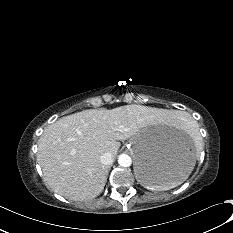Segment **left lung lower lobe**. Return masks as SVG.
Returning a JSON list of instances; mask_svg holds the SVG:
<instances>
[{
    "label": "left lung lower lobe",
    "mask_w": 233,
    "mask_h": 233,
    "mask_svg": "<svg viewBox=\"0 0 233 233\" xmlns=\"http://www.w3.org/2000/svg\"><path fill=\"white\" fill-rule=\"evenodd\" d=\"M142 175H143V177L151 179V180L156 179L155 174L146 168L142 170Z\"/></svg>",
    "instance_id": "1"
}]
</instances>
